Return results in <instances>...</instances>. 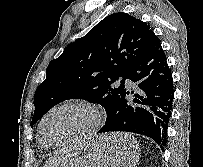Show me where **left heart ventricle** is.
I'll return each mask as SVG.
<instances>
[{
    "label": "left heart ventricle",
    "mask_w": 203,
    "mask_h": 167,
    "mask_svg": "<svg viewBox=\"0 0 203 167\" xmlns=\"http://www.w3.org/2000/svg\"><path fill=\"white\" fill-rule=\"evenodd\" d=\"M92 123V116L77 107L63 108L51 115L43 126V140L46 144H57L86 130Z\"/></svg>",
    "instance_id": "left-heart-ventricle-1"
}]
</instances>
